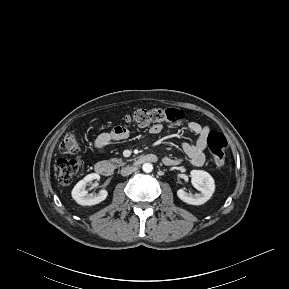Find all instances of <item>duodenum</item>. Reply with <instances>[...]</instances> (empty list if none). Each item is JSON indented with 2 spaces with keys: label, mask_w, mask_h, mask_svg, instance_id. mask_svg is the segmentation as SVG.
Here are the masks:
<instances>
[{
  "label": "duodenum",
  "mask_w": 289,
  "mask_h": 289,
  "mask_svg": "<svg viewBox=\"0 0 289 289\" xmlns=\"http://www.w3.org/2000/svg\"><path fill=\"white\" fill-rule=\"evenodd\" d=\"M157 161V157L154 154H145L138 157L133 164L135 166L144 164V163H154ZM95 171L103 176H110L114 172V165L106 160L98 161L94 166Z\"/></svg>",
  "instance_id": "1"
}]
</instances>
